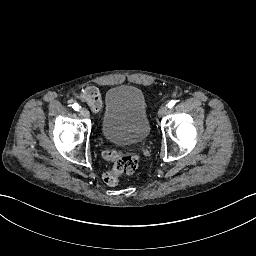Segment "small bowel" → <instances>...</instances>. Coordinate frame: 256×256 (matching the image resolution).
<instances>
[{
	"instance_id": "obj_1",
	"label": "small bowel",
	"mask_w": 256,
	"mask_h": 256,
	"mask_svg": "<svg viewBox=\"0 0 256 256\" xmlns=\"http://www.w3.org/2000/svg\"><path fill=\"white\" fill-rule=\"evenodd\" d=\"M77 97L85 101L89 107L99 112L102 109V98L99 90L94 86H87L83 88L77 95Z\"/></svg>"
}]
</instances>
